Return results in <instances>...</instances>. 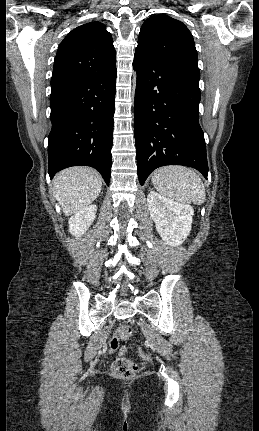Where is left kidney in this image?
<instances>
[{"instance_id":"5707ae66","label":"left kidney","mask_w":259,"mask_h":431,"mask_svg":"<svg viewBox=\"0 0 259 431\" xmlns=\"http://www.w3.org/2000/svg\"><path fill=\"white\" fill-rule=\"evenodd\" d=\"M147 205L160 237L173 247L182 244L191 231L193 208L152 190L147 196Z\"/></svg>"}]
</instances>
